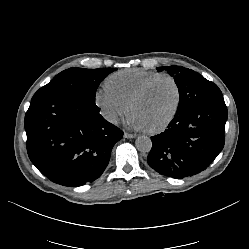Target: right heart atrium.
Here are the masks:
<instances>
[{
    "label": "right heart atrium",
    "instance_id": "1",
    "mask_svg": "<svg viewBox=\"0 0 249 249\" xmlns=\"http://www.w3.org/2000/svg\"><path fill=\"white\" fill-rule=\"evenodd\" d=\"M94 102L101 116L112 124L118 121L128 106L127 102L113 94L106 87L99 89L95 93Z\"/></svg>",
    "mask_w": 249,
    "mask_h": 249
}]
</instances>
